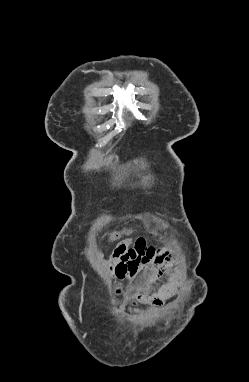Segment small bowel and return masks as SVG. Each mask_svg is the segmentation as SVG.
<instances>
[{
    "instance_id": "small-bowel-1",
    "label": "small bowel",
    "mask_w": 249,
    "mask_h": 382,
    "mask_svg": "<svg viewBox=\"0 0 249 382\" xmlns=\"http://www.w3.org/2000/svg\"><path fill=\"white\" fill-rule=\"evenodd\" d=\"M152 244L143 237L134 240H123L114 248L112 254L107 259L106 264L113 276L118 280H124L135 273L136 266H140L144 255V248H149ZM158 272V271H157ZM122 285L118 283L116 293L121 292ZM141 296L133 299V302L141 300ZM162 300L154 299V304H161Z\"/></svg>"
}]
</instances>
